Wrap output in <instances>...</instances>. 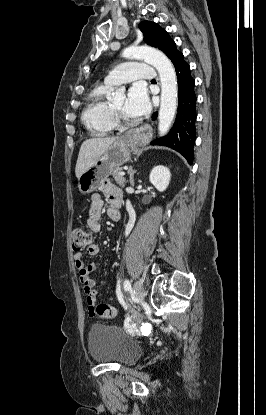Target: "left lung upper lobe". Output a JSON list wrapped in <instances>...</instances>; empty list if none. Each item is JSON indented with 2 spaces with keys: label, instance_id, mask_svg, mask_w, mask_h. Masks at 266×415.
I'll return each instance as SVG.
<instances>
[{
  "label": "left lung upper lobe",
  "instance_id": "5c2ea615",
  "mask_svg": "<svg viewBox=\"0 0 266 415\" xmlns=\"http://www.w3.org/2000/svg\"><path fill=\"white\" fill-rule=\"evenodd\" d=\"M138 27L144 35V41L148 45L163 51L172 62L175 57L181 53L177 50L176 44L170 38L169 34L158 24L150 21H143Z\"/></svg>",
  "mask_w": 266,
  "mask_h": 415
}]
</instances>
